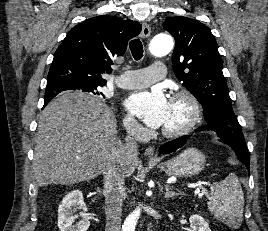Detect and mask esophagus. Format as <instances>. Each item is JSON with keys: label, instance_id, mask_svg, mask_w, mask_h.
Listing matches in <instances>:
<instances>
[{"label": "esophagus", "instance_id": "obj_1", "mask_svg": "<svg viewBox=\"0 0 268 231\" xmlns=\"http://www.w3.org/2000/svg\"><path fill=\"white\" fill-rule=\"evenodd\" d=\"M151 33L150 27L146 22L142 23V36L147 38ZM144 155L151 161H157V156L155 153V148L151 145L147 146Z\"/></svg>", "mask_w": 268, "mask_h": 231}]
</instances>
